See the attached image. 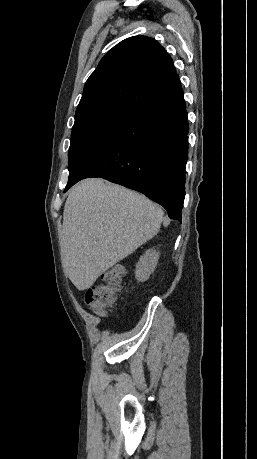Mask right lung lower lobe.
<instances>
[{
  "instance_id": "right-lung-lower-lobe-1",
  "label": "right lung lower lobe",
  "mask_w": 257,
  "mask_h": 459,
  "mask_svg": "<svg viewBox=\"0 0 257 459\" xmlns=\"http://www.w3.org/2000/svg\"><path fill=\"white\" fill-rule=\"evenodd\" d=\"M188 119L180 82L137 109L110 142L69 177H102L145 194L181 221L185 197Z\"/></svg>"
}]
</instances>
